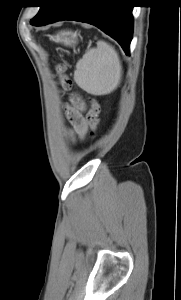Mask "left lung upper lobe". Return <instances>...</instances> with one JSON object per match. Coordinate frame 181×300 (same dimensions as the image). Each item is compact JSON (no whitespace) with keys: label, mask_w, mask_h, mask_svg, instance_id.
<instances>
[{"label":"left lung upper lobe","mask_w":181,"mask_h":300,"mask_svg":"<svg viewBox=\"0 0 181 300\" xmlns=\"http://www.w3.org/2000/svg\"><path fill=\"white\" fill-rule=\"evenodd\" d=\"M54 2L55 0H44L43 6L40 7L39 12L33 19H31L30 23L34 26H37L40 23V21L47 15L50 9L53 7Z\"/></svg>","instance_id":"obj_1"}]
</instances>
